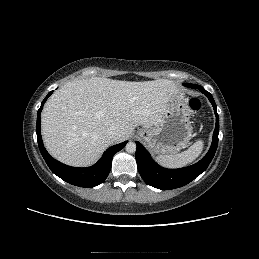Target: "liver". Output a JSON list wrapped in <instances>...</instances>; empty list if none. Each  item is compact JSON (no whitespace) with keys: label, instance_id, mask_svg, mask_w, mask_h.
I'll use <instances>...</instances> for the list:
<instances>
[{"label":"liver","instance_id":"obj_1","mask_svg":"<svg viewBox=\"0 0 259 259\" xmlns=\"http://www.w3.org/2000/svg\"><path fill=\"white\" fill-rule=\"evenodd\" d=\"M171 80L130 82L95 77L67 82L46 102L41 116L45 147L59 161L89 166L114 142L128 139L136 126L157 125L171 96ZM116 127V141L106 131Z\"/></svg>","mask_w":259,"mask_h":259}]
</instances>
